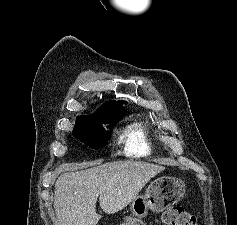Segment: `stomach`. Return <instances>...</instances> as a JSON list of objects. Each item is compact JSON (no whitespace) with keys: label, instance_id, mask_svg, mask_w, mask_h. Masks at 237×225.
<instances>
[{"label":"stomach","instance_id":"0dacf381","mask_svg":"<svg viewBox=\"0 0 237 225\" xmlns=\"http://www.w3.org/2000/svg\"><path fill=\"white\" fill-rule=\"evenodd\" d=\"M185 184L173 177H160L152 181L144 196H137L130 204L132 215L143 218L150 209L162 212L169 205L181 200L184 195Z\"/></svg>","mask_w":237,"mask_h":225}]
</instances>
